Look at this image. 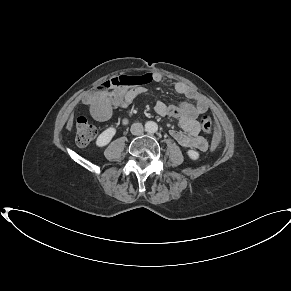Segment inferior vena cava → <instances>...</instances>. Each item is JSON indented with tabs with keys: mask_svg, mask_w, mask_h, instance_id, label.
Returning <instances> with one entry per match:
<instances>
[{
	"mask_svg": "<svg viewBox=\"0 0 291 291\" xmlns=\"http://www.w3.org/2000/svg\"><path fill=\"white\" fill-rule=\"evenodd\" d=\"M130 131L133 135H142L144 132V127L141 123H134L132 124Z\"/></svg>",
	"mask_w": 291,
	"mask_h": 291,
	"instance_id": "obj_1",
	"label": "inferior vena cava"
}]
</instances>
